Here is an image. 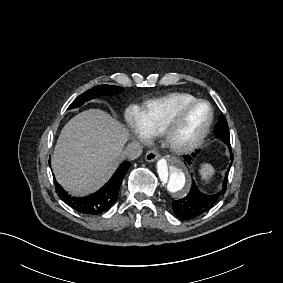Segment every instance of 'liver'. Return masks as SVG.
Here are the masks:
<instances>
[{
  "label": "liver",
  "mask_w": 283,
  "mask_h": 283,
  "mask_svg": "<svg viewBox=\"0 0 283 283\" xmlns=\"http://www.w3.org/2000/svg\"><path fill=\"white\" fill-rule=\"evenodd\" d=\"M128 132L109 114L89 110L62 129L52 156L57 181L80 196L103 185L121 161Z\"/></svg>",
  "instance_id": "1"
}]
</instances>
